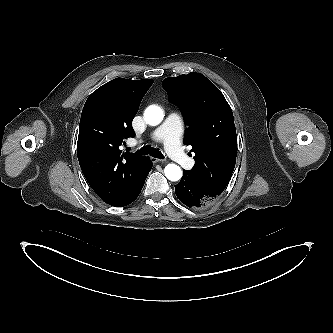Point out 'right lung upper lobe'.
Segmentation results:
<instances>
[{
  "label": "right lung upper lobe",
  "mask_w": 333,
  "mask_h": 333,
  "mask_svg": "<svg viewBox=\"0 0 333 333\" xmlns=\"http://www.w3.org/2000/svg\"><path fill=\"white\" fill-rule=\"evenodd\" d=\"M153 80L116 78L87 99L81 114L77 155L81 170L95 193L107 204L122 205L149 159L119 146L134 137L131 126Z\"/></svg>",
  "instance_id": "cb5924a9"
}]
</instances>
